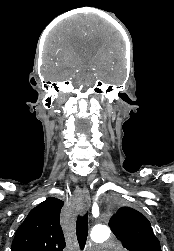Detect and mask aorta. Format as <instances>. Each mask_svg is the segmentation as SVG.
<instances>
[{"instance_id": "obj_1", "label": "aorta", "mask_w": 174, "mask_h": 251, "mask_svg": "<svg viewBox=\"0 0 174 251\" xmlns=\"http://www.w3.org/2000/svg\"><path fill=\"white\" fill-rule=\"evenodd\" d=\"M110 238V229L107 225H96L91 233V240L94 243L101 244L106 242Z\"/></svg>"}]
</instances>
